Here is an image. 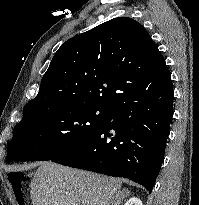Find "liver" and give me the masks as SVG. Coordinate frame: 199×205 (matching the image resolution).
<instances>
[{
  "mask_svg": "<svg viewBox=\"0 0 199 205\" xmlns=\"http://www.w3.org/2000/svg\"><path fill=\"white\" fill-rule=\"evenodd\" d=\"M121 180L40 162L30 184L33 205H120L129 195Z\"/></svg>",
  "mask_w": 199,
  "mask_h": 205,
  "instance_id": "1",
  "label": "liver"
}]
</instances>
